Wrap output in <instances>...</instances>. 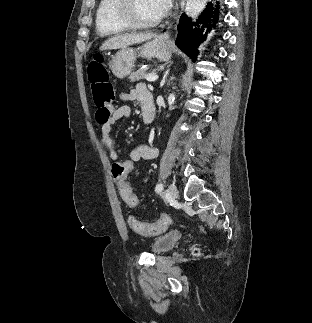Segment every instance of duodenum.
I'll use <instances>...</instances> for the list:
<instances>
[{"mask_svg":"<svg viewBox=\"0 0 312 323\" xmlns=\"http://www.w3.org/2000/svg\"><path fill=\"white\" fill-rule=\"evenodd\" d=\"M155 116V105L152 94L147 91L142 100L141 119L143 124H149Z\"/></svg>","mask_w":312,"mask_h":323,"instance_id":"obj_1","label":"duodenum"}]
</instances>
